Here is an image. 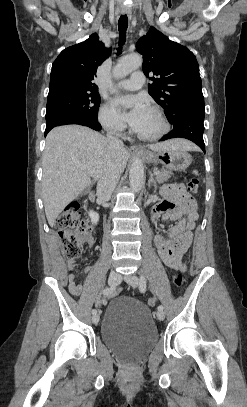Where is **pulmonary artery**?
Instances as JSON below:
<instances>
[{"mask_svg": "<svg viewBox=\"0 0 247 407\" xmlns=\"http://www.w3.org/2000/svg\"><path fill=\"white\" fill-rule=\"evenodd\" d=\"M145 77L141 71L134 72L130 78L121 80L118 86L126 90H137L144 84Z\"/></svg>", "mask_w": 247, "mask_h": 407, "instance_id": "1", "label": "pulmonary artery"}]
</instances>
